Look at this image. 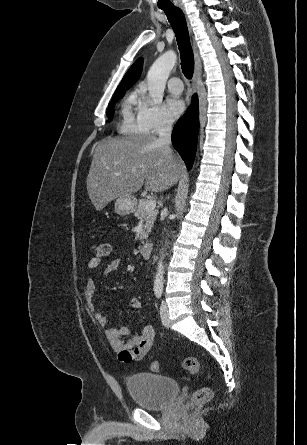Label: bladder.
I'll use <instances>...</instances> for the list:
<instances>
[{"label":"bladder","mask_w":307,"mask_h":445,"mask_svg":"<svg viewBox=\"0 0 307 445\" xmlns=\"http://www.w3.org/2000/svg\"><path fill=\"white\" fill-rule=\"evenodd\" d=\"M133 402L141 408L162 410L169 407L180 391L179 383L168 376L140 372L126 379Z\"/></svg>","instance_id":"obj_1"}]
</instances>
